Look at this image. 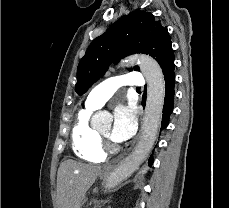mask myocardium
Returning a JSON list of instances; mask_svg holds the SVG:
<instances>
[{
    "label": "myocardium",
    "mask_w": 229,
    "mask_h": 208,
    "mask_svg": "<svg viewBox=\"0 0 229 208\" xmlns=\"http://www.w3.org/2000/svg\"><path fill=\"white\" fill-rule=\"evenodd\" d=\"M98 134H99L100 137L109 140V137L103 135L101 132L98 133ZM109 146H110V143H109V142H102V143L99 144V147H100V148L109 147ZM102 152H103V153H108V152H109V149H108V148H103V149H102Z\"/></svg>",
    "instance_id": "1"
}]
</instances>
